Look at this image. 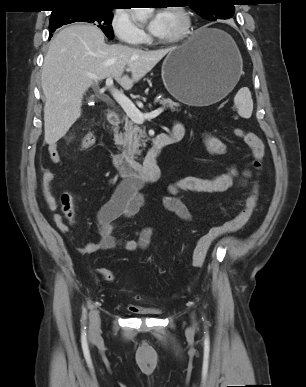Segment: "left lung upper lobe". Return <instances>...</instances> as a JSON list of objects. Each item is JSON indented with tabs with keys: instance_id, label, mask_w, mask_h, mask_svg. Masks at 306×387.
Segmentation results:
<instances>
[{
	"instance_id": "obj_1",
	"label": "left lung upper lobe",
	"mask_w": 306,
	"mask_h": 387,
	"mask_svg": "<svg viewBox=\"0 0 306 387\" xmlns=\"http://www.w3.org/2000/svg\"><path fill=\"white\" fill-rule=\"evenodd\" d=\"M233 0H188L189 6L205 19H229L233 16L235 7Z\"/></svg>"
}]
</instances>
